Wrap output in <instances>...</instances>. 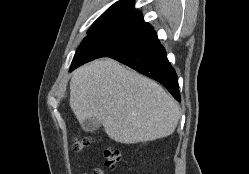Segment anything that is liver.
Wrapping results in <instances>:
<instances>
[{"mask_svg": "<svg viewBox=\"0 0 249 174\" xmlns=\"http://www.w3.org/2000/svg\"><path fill=\"white\" fill-rule=\"evenodd\" d=\"M70 107L80 123L95 117L112 140L124 144L167 137L180 118L176 101L159 84L113 59L74 71Z\"/></svg>", "mask_w": 249, "mask_h": 174, "instance_id": "6515ba94", "label": "liver"}]
</instances>
